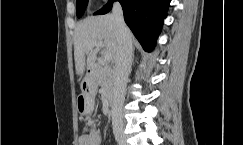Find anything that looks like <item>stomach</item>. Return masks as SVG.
Returning <instances> with one entry per match:
<instances>
[{"label": "stomach", "instance_id": "obj_1", "mask_svg": "<svg viewBox=\"0 0 243 145\" xmlns=\"http://www.w3.org/2000/svg\"><path fill=\"white\" fill-rule=\"evenodd\" d=\"M96 84L93 79H88L81 84L82 93L78 98L79 112H90V107L94 103L93 95L95 93Z\"/></svg>", "mask_w": 243, "mask_h": 145}]
</instances>
